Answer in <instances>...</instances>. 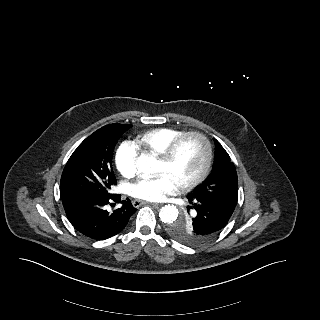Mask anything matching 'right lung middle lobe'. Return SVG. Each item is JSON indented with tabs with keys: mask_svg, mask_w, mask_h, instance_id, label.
<instances>
[{
	"mask_svg": "<svg viewBox=\"0 0 320 320\" xmlns=\"http://www.w3.org/2000/svg\"><path fill=\"white\" fill-rule=\"evenodd\" d=\"M130 127L119 123L103 126L77 147L61 176V197L110 195L111 186L116 184L113 151L120 136Z\"/></svg>",
	"mask_w": 320,
	"mask_h": 320,
	"instance_id": "right-lung-middle-lobe-1",
	"label": "right lung middle lobe"
}]
</instances>
